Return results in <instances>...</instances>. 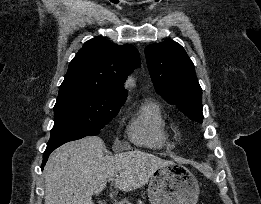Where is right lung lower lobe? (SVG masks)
I'll list each match as a JSON object with an SVG mask.
<instances>
[{"label": "right lung lower lobe", "mask_w": 261, "mask_h": 204, "mask_svg": "<svg viewBox=\"0 0 261 204\" xmlns=\"http://www.w3.org/2000/svg\"><path fill=\"white\" fill-rule=\"evenodd\" d=\"M60 145L61 144H56V145H51V146L47 145V148H46V150H45V152L43 154V163H42L41 169H43V167H44V165H45V163H46L50 153L53 150H55L57 147H59Z\"/></svg>", "instance_id": "obj_1"}]
</instances>
